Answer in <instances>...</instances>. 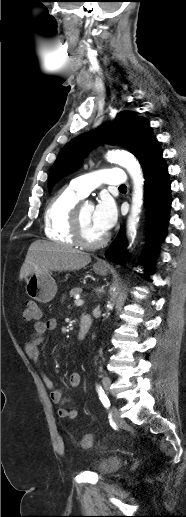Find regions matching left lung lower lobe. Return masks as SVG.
I'll list each match as a JSON object with an SVG mask.
<instances>
[{
    "label": "left lung lower lobe",
    "mask_w": 186,
    "mask_h": 517,
    "mask_svg": "<svg viewBox=\"0 0 186 517\" xmlns=\"http://www.w3.org/2000/svg\"><path fill=\"white\" fill-rule=\"evenodd\" d=\"M144 171L145 192L149 202V251L164 238L169 221L171 207V189L167 166L162 158V151L156 141L139 159ZM125 237L123 233L114 239L105 256L114 263H122L126 257Z\"/></svg>",
    "instance_id": "1"
}]
</instances>
